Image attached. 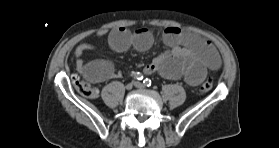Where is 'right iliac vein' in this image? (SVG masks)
Returning a JSON list of instances; mask_svg holds the SVG:
<instances>
[{
	"instance_id": "obj_1",
	"label": "right iliac vein",
	"mask_w": 279,
	"mask_h": 148,
	"mask_svg": "<svg viewBox=\"0 0 279 148\" xmlns=\"http://www.w3.org/2000/svg\"><path fill=\"white\" fill-rule=\"evenodd\" d=\"M133 88V84L132 83H129L126 85V89L127 90H131Z\"/></svg>"
}]
</instances>
